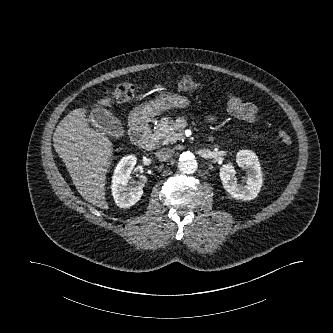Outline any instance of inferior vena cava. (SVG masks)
<instances>
[{"instance_id": "1", "label": "inferior vena cava", "mask_w": 333, "mask_h": 333, "mask_svg": "<svg viewBox=\"0 0 333 333\" xmlns=\"http://www.w3.org/2000/svg\"><path fill=\"white\" fill-rule=\"evenodd\" d=\"M175 151L171 148H162L156 152L159 161H167L174 155Z\"/></svg>"}]
</instances>
